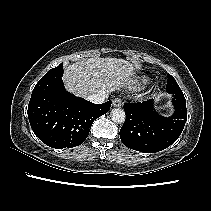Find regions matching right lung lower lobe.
I'll use <instances>...</instances> for the list:
<instances>
[{"instance_id": "obj_1", "label": "right lung lower lobe", "mask_w": 211, "mask_h": 211, "mask_svg": "<svg viewBox=\"0 0 211 211\" xmlns=\"http://www.w3.org/2000/svg\"><path fill=\"white\" fill-rule=\"evenodd\" d=\"M63 68L44 75L34 87L28 117L35 135L46 145L62 149L82 144L94 120L107 113L111 101L93 104L64 88Z\"/></svg>"}]
</instances>
